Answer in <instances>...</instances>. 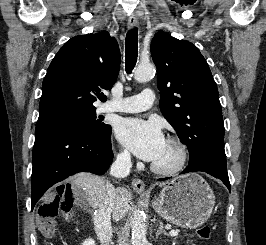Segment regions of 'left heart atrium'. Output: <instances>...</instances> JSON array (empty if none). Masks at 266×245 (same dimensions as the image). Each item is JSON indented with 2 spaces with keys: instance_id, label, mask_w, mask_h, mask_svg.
I'll return each mask as SVG.
<instances>
[{
  "instance_id": "39dd6f15",
  "label": "left heart atrium",
  "mask_w": 266,
  "mask_h": 245,
  "mask_svg": "<svg viewBox=\"0 0 266 245\" xmlns=\"http://www.w3.org/2000/svg\"><path fill=\"white\" fill-rule=\"evenodd\" d=\"M115 133L119 142L138 158L152 163L166 142L162 127L154 120L122 118L115 125Z\"/></svg>"
}]
</instances>
